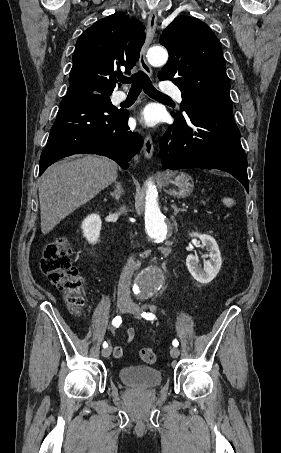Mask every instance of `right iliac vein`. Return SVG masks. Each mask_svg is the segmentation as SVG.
Listing matches in <instances>:
<instances>
[{
	"instance_id": "obj_1",
	"label": "right iliac vein",
	"mask_w": 281,
	"mask_h": 453,
	"mask_svg": "<svg viewBox=\"0 0 281 453\" xmlns=\"http://www.w3.org/2000/svg\"><path fill=\"white\" fill-rule=\"evenodd\" d=\"M129 303V301H116V309H119L121 310V312H123L129 306ZM111 351L112 347L103 348L101 354L103 355V357H110Z\"/></svg>"
}]
</instances>
